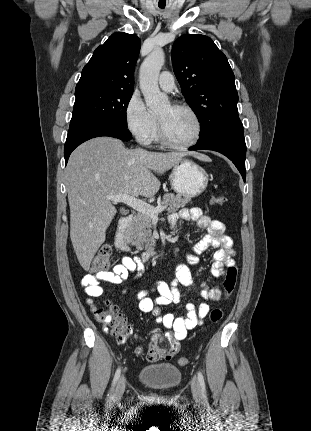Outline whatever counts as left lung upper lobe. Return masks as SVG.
<instances>
[{
	"label": "left lung upper lobe",
	"mask_w": 311,
	"mask_h": 431,
	"mask_svg": "<svg viewBox=\"0 0 311 431\" xmlns=\"http://www.w3.org/2000/svg\"><path fill=\"white\" fill-rule=\"evenodd\" d=\"M171 56L181 91L201 125L199 141L241 122L234 73L212 39L182 35L174 42Z\"/></svg>",
	"instance_id": "left-lung-upper-lobe-1"
}]
</instances>
